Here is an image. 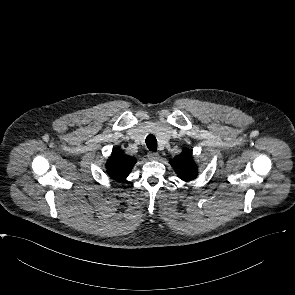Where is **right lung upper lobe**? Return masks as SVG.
<instances>
[{"mask_svg": "<svg viewBox=\"0 0 295 295\" xmlns=\"http://www.w3.org/2000/svg\"><path fill=\"white\" fill-rule=\"evenodd\" d=\"M135 163L134 157L127 156L121 150L115 148L106 163V168L113 179L123 181L129 175Z\"/></svg>", "mask_w": 295, "mask_h": 295, "instance_id": "cb5924a9", "label": "right lung upper lobe"}]
</instances>
